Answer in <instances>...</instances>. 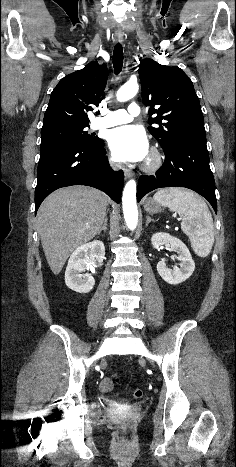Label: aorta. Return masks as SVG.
Segmentation results:
<instances>
[{
    "label": "aorta",
    "instance_id": "1",
    "mask_svg": "<svg viewBox=\"0 0 236 467\" xmlns=\"http://www.w3.org/2000/svg\"><path fill=\"white\" fill-rule=\"evenodd\" d=\"M139 90V85L136 81L126 82L116 93V98L119 102H125L133 98ZM122 206L124 219L127 227L134 230L138 223V210L136 204V182L129 180L123 190Z\"/></svg>",
    "mask_w": 236,
    "mask_h": 467
}]
</instances>
